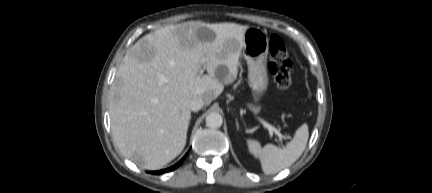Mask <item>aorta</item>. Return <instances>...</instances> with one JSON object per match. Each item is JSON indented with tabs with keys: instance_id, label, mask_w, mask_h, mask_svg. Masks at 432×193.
<instances>
[{
	"instance_id": "762f6f07",
	"label": "aorta",
	"mask_w": 432,
	"mask_h": 193,
	"mask_svg": "<svg viewBox=\"0 0 432 193\" xmlns=\"http://www.w3.org/2000/svg\"><path fill=\"white\" fill-rule=\"evenodd\" d=\"M206 125L210 128H219L223 123V118L219 113L211 112L206 116Z\"/></svg>"
}]
</instances>
